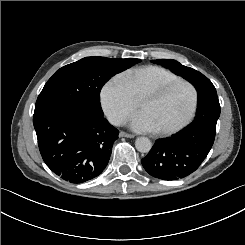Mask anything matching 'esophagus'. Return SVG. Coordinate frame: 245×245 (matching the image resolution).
I'll return each mask as SVG.
<instances>
[{
    "label": "esophagus",
    "mask_w": 245,
    "mask_h": 245,
    "mask_svg": "<svg viewBox=\"0 0 245 245\" xmlns=\"http://www.w3.org/2000/svg\"><path fill=\"white\" fill-rule=\"evenodd\" d=\"M120 137H126V138H134L133 134L125 133V132H120L119 134Z\"/></svg>",
    "instance_id": "1"
}]
</instances>
